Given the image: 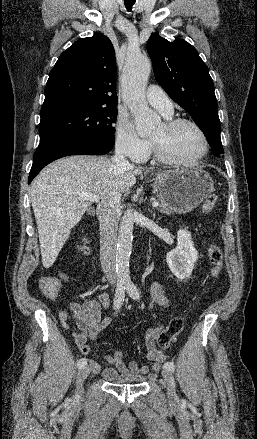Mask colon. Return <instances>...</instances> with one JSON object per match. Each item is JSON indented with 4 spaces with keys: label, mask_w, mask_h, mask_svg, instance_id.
<instances>
[{
    "label": "colon",
    "mask_w": 257,
    "mask_h": 439,
    "mask_svg": "<svg viewBox=\"0 0 257 439\" xmlns=\"http://www.w3.org/2000/svg\"><path fill=\"white\" fill-rule=\"evenodd\" d=\"M216 203L217 196L209 195L203 202V211L206 213L210 212L215 207ZM81 250H87V245L85 242L82 244ZM208 256L211 264V274L214 278H217L222 268L223 254L220 246L215 242L211 243ZM63 281V275L43 278L40 282L41 290L48 297L54 296L59 291ZM183 329L184 322L182 318H173L168 327L162 330L157 337L159 348L163 349L167 347L172 339L176 338L182 333Z\"/></svg>",
    "instance_id": "obj_1"
}]
</instances>
